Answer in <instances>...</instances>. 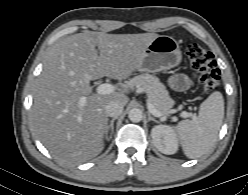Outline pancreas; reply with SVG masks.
<instances>
[{
  "instance_id": "pancreas-1",
  "label": "pancreas",
  "mask_w": 248,
  "mask_h": 195,
  "mask_svg": "<svg viewBox=\"0 0 248 195\" xmlns=\"http://www.w3.org/2000/svg\"><path fill=\"white\" fill-rule=\"evenodd\" d=\"M128 85L141 88L146 92L149 101L162 116L167 117L170 114L174 101L170 98L165 85L157 77L150 74H141L132 78Z\"/></svg>"
}]
</instances>
